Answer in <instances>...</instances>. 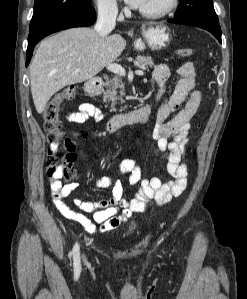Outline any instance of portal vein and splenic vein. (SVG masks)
Returning <instances> with one entry per match:
<instances>
[{
    "label": "portal vein and splenic vein",
    "mask_w": 247,
    "mask_h": 299,
    "mask_svg": "<svg viewBox=\"0 0 247 299\" xmlns=\"http://www.w3.org/2000/svg\"><path fill=\"white\" fill-rule=\"evenodd\" d=\"M107 69L115 74L120 75V76L126 75L125 69L121 65L116 64V63H109L107 65ZM135 74L142 76V75H144V72L142 70H137V71H135Z\"/></svg>",
    "instance_id": "1"
}]
</instances>
